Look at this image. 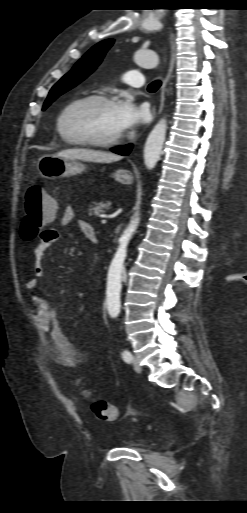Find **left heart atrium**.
Here are the masks:
<instances>
[{
	"mask_svg": "<svg viewBox=\"0 0 247 513\" xmlns=\"http://www.w3.org/2000/svg\"><path fill=\"white\" fill-rule=\"evenodd\" d=\"M116 115L121 132H125L144 121L147 112L144 108L137 107L134 101L128 97L116 105Z\"/></svg>",
	"mask_w": 247,
	"mask_h": 513,
	"instance_id": "39dd6f15",
	"label": "left heart atrium"
}]
</instances>
